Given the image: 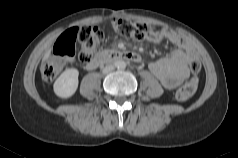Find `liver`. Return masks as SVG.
<instances>
[{
    "label": "liver",
    "mask_w": 238,
    "mask_h": 158,
    "mask_svg": "<svg viewBox=\"0 0 238 158\" xmlns=\"http://www.w3.org/2000/svg\"><path fill=\"white\" fill-rule=\"evenodd\" d=\"M50 55H51V49H49V50L45 53L44 58H43V61L47 60V59L50 57Z\"/></svg>",
    "instance_id": "obj_1"
}]
</instances>
